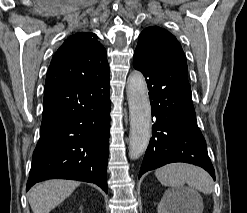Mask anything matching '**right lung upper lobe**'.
Instances as JSON below:
<instances>
[{
	"mask_svg": "<svg viewBox=\"0 0 247 213\" xmlns=\"http://www.w3.org/2000/svg\"><path fill=\"white\" fill-rule=\"evenodd\" d=\"M106 50L94 33H76L57 50L50 63L45 94L64 86L109 74Z\"/></svg>",
	"mask_w": 247,
	"mask_h": 213,
	"instance_id": "right-lung-upper-lobe-1",
	"label": "right lung upper lobe"
}]
</instances>
